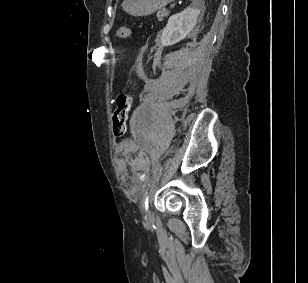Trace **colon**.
Listing matches in <instances>:
<instances>
[{
	"instance_id": "1",
	"label": "colon",
	"mask_w": 308,
	"mask_h": 283,
	"mask_svg": "<svg viewBox=\"0 0 308 283\" xmlns=\"http://www.w3.org/2000/svg\"><path fill=\"white\" fill-rule=\"evenodd\" d=\"M131 29L123 26L117 29L116 36L118 38H128ZM132 105V98L128 94H120L116 99L115 109L112 114V129L116 137H123L127 132V123L129 112Z\"/></svg>"
}]
</instances>
